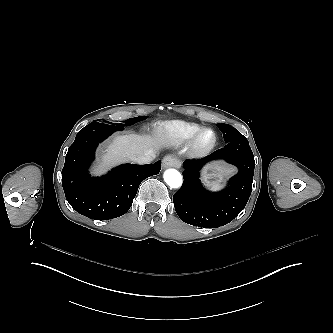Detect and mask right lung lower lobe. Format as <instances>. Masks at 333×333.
Returning <instances> with one entry per match:
<instances>
[{
  "label": "right lung lower lobe",
  "instance_id": "obj_1",
  "mask_svg": "<svg viewBox=\"0 0 333 333\" xmlns=\"http://www.w3.org/2000/svg\"><path fill=\"white\" fill-rule=\"evenodd\" d=\"M122 129L119 125L94 121L78 132L66 154L62 170L66 199L78 213L90 219L106 220L125 214L140 183L161 169V161H157L147 165L123 164L100 178L88 174L98 143Z\"/></svg>",
  "mask_w": 333,
  "mask_h": 333
}]
</instances>
